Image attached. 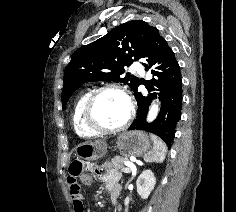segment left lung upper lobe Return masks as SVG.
<instances>
[{
  "label": "left lung upper lobe",
  "mask_w": 236,
  "mask_h": 212,
  "mask_svg": "<svg viewBox=\"0 0 236 212\" xmlns=\"http://www.w3.org/2000/svg\"><path fill=\"white\" fill-rule=\"evenodd\" d=\"M153 28L145 21L132 20L77 50L64 71L63 108L86 82H123L134 91L139 85L138 78L128 73L126 77L122 75L125 67L143 58Z\"/></svg>",
  "instance_id": "1"
}]
</instances>
